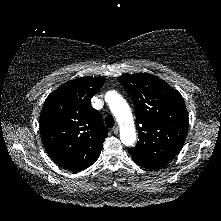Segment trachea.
<instances>
[{
	"instance_id": "trachea-1",
	"label": "trachea",
	"mask_w": 221,
	"mask_h": 221,
	"mask_svg": "<svg viewBox=\"0 0 221 221\" xmlns=\"http://www.w3.org/2000/svg\"><path fill=\"white\" fill-rule=\"evenodd\" d=\"M105 124L107 127L112 128L115 124V120L112 115H107L105 117Z\"/></svg>"
}]
</instances>
